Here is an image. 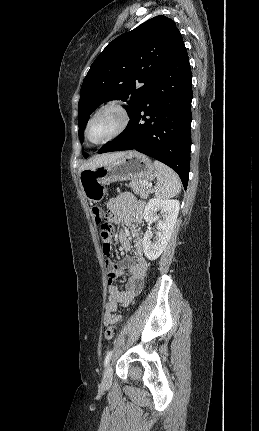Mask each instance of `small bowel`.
Wrapping results in <instances>:
<instances>
[{
  "mask_svg": "<svg viewBox=\"0 0 259 431\" xmlns=\"http://www.w3.org/2000/svg\"><path fill=\"white\" fill-rule=\"evenodd\" d=\"M143 207L144 203L129 193L114 197L107 203L109 220L113 223L122 222L132 231L133 241L125 231L119 233L118 239L122 248L132 251L133 256L121 262H113L110 259L105 262L109 293L104 313L105 325H114L121 321L120 309L128 306L142 287L148 267L140 229ZM124 274L128 275V283L124 289H120L114 282Z\"/></svg>",
  "mask_w": 259,
  "mask_h": 431,
  "instance_id": "small-bowel-1",
  "label": "small bowel"
}]
</instances>
